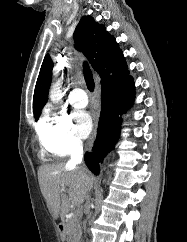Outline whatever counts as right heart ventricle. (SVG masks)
<instances>
[{
	"label": "right heart ventricle",
	"instance_id": "right-heart-ventricle-1",
	"mask_svg": "<svg viewBox=\"0 0 187 242\" xmlns=\"http://www.w3.org/2000/svg\"><path fill=\"white\" fill-rule=\"evenodd\" d=\"M47 152H49L43 145H42V149H41V156L42 157H46Z\"/></svg>",
	"mask_w": 187,
	"mask_h": 242
}]
</instances>
